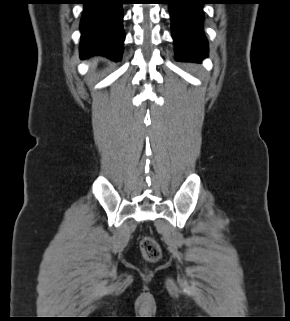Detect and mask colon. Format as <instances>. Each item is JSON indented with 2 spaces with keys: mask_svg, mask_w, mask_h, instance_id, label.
I'll return each instance as SVG.
<instances>
[{
  "mask_svg": "<svg viewBox=\"0 0 290 321\" xmlns=\"http://www.w3.org/2000/svg\"><path fill=\"white\" fill-rule=\"evenodd\" d=\"M141 250L145 258L149 261H156L160 258L161 250L158 243L150 238L146 237L141 241Z\"/></svg>",
  "mask_w": 290,
  "mask_h": 321,
  "instance_id": "obj_1",
  "label": "colon"
}]
</instances>
